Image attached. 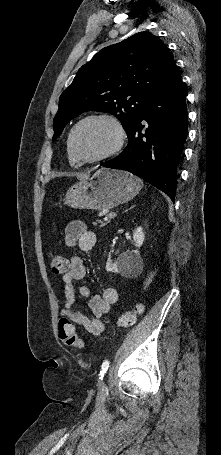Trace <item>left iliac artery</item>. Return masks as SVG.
<instances>
[{"mask_svg":"<svg viewBox=\"0 0 221 455\" xmlns=\"http://www.w3.org/2000/svg\"><path fill=\"white\" fill-rule=\"evenodd\" d=\"M109 365H110V362L108 360H105L103 363H102V366H101V371H100V374H99V379L102 380L105 373L107 372L108 368H109Z\"/></svg>","mask_w":221,"mask_h":455,"instance_id":"1","label":"left iliac artery"}]
</instances>
